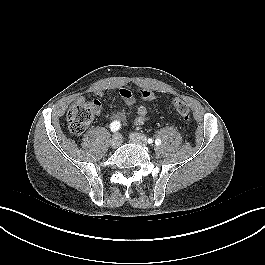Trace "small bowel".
<instances>
[{"label":"small bowel","instance_id":"c3829d8e","mask_svg":"<svg viewBox=\"0 0 265 265\" xmlns=\"http://www.w3.org/2000/svg\"><path fill=\"white\" fill-rule=\"evenodd\" d=\"M119 93H120V96H121L126 107H130V106L135 104L136 98L133 95V93L131 92V90H129L127 88H122V89H120ZM101 94L102 93L99 92V95H101ZM78 100L82 101L83 99L79 98ZM96 101L101 106L100 101L99 100H96ZM146 115H147V108L144 105L138 106L137 107V115L134 119L135 125H137V126L143 125L146 121ZM111 119L113 121L123 122L126 119V110L121 109V110L115 111L111 115Z\"/></svg>","mask_w":265,"mask_h":265}]
</instances>
